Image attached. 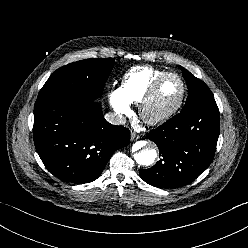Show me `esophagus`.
Wrapping results in <instances>:
<instances>
[{"mask_svg":"<svg viewBox=\"0 0 248 248\" xmlns=\"http://www.w3.org/2000/svg\"><path fill=\"white\" fill-rule=\"evenodd\" d=\"M139 138H140V136L137 133L131 132V140L132 141L137 140Z\"/></svg>","mask_w":248,"mask_h":248,"instance_id":"esophagus-1","label":"esophagus"}]
</instances>
